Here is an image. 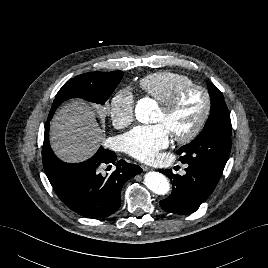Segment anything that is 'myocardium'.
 <instances>
[{
  "mask_svg": "<svg viewBox=\"0 0 268 268\" xmlns=\"http://www.w3.org/2000/svg\"><path fill=\"white\" fill-rule=\"evenodd\" d=\"M192 90H198L201 92L204 96V109L202 112V115L198 119V121L195 123L194 127L188 131L187 133L183 135H171L172 139L179 144H186L194 140L199 133L204 128L205 124L207 123L209 116L211 114L212 109V98L209 90L198 84H187L182 87H180L171 97L170 99L160 104V109L162 110L164 115H170L173 113V111L176 109V107L179 105L181 99L183 96Z\"/></svg>",
  "mask_w": 268,
  "mask_h": 268,
  "instance_id": "myocardium-1",
  "label": "myocardium"
}]
</instances>
